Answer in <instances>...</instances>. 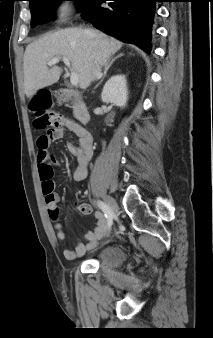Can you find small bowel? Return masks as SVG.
I'll return each instance as SVG.
<instances>
[{
    "label": "small bowel",
    "mask_w": 213,
    "mask_h": 338,
    "mask_svg": "<svg viewBox=\"0 0 213 338\" xmlns=\"http://www.w3.org/2000/svg\"><path fill=\"white\" fill-rule=\"evenodd\" d=\"M64 126L78 137V144L69 147L71 153L77 160L73 177L76 181H83L87 176V165L92 154L93 138L91 134L77 121L66 119ZM63 136L62 128H55L51 136L40 135L36 140L37 145V165L40 176L43 172L52 171V166L56 163L54 156L50 153L52 143ZM45 202L50 218L54 221V230L56 238L64 242L66 234L63 230V224L59 221V202L60 195L52 192L51 195L45 196ZM78 210L83 214L91 212L90 205L80 202L76 203ZM95 229L84 235L83 240H78L74 248H66L63 251L67 260H76L91 250L94 244L100 240L107 231L106 219L101 212L95 213Z\"/></svg>",
    "instance_id": "1"
}]
</instances>
